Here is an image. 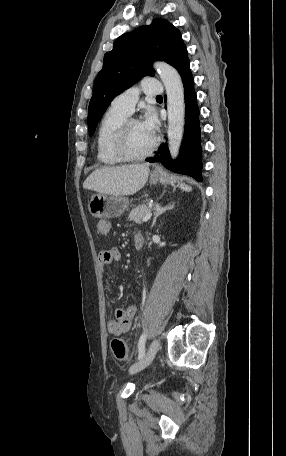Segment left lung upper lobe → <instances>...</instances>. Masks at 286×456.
<instances>
[{
	"instance_id": "1",
	"label": "left lung upper lobe",
	"mask_w": 286,
	"mask_h": 456,
	"mask_svg": "<svg viewBox=\"0 0 286 456\" xmlns=\"http://www.w3.org/2000/svg\"><path fill=\"white\" fill-rule=\"evenodd\" d=\"M161 60L179 68L188 60L181 33L167 20L154 19L121 35L104 56L89 103L88 127L93 135L110 102L146 75H154L152 63Z\"/></svg>"
}]
</instances>
